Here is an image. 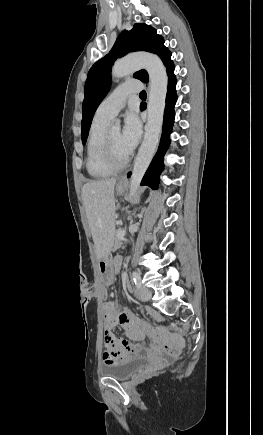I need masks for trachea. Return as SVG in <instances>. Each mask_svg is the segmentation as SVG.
Masks as SVG:
<instances>
[{"label":"trachea","instance_id":"trachea-1","mask_svg":"<svg viewBox=\"0 0 263 435\" xmlns=\"http://www.w3.org/2000/svg\"><path fill=\"white\" fill-rule=\"evenodd\" d=\"M146 96H147V94L145 91L140 92V97H146Z\"/></svg>","mask_w":263,"mask_h":435}]
</instances>
